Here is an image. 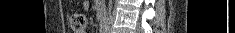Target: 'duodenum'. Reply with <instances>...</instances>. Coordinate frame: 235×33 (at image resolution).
Here are the masks:
<instances>
[{
  "label": "duodenum",
  "instance_id": "1",
  "mask_svg": "<svg viewBox=\"0 0 235 33\" xmlns=\"http://www.w3.org/2000/svg\"><path fill=\"white\" fill-rule=\"evenodd\" d=\"M105 26L104 22H100V33H105Z\"/></svg>",
  "mask_w": 235,
  "mask_h": 33
}]
</instances>
